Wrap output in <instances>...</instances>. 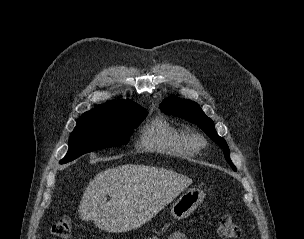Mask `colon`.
I'll list each match as a JSON object with an SVG mask.
<instances>
[{"instance_id": "5ec220e1", "label": "colon", "mask_w": 304, "mask_h": 239, "mask_svg": "<svg viewBox=\"0 0 304 239\" xmlns=\"http://www.w3.org/2000/svg\"><path fill=\"white\" fill-rule=\"evenodd\" d=\"M218 234L223 239H236L240 236V227L228 215H223L218 222ZM51 233L56 239H70L72 222L69 217H62L51 227Z\"/></svg>"}]
</instances>
